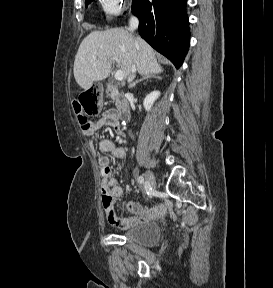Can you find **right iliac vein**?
Here are the masks:
<instances>
[{
    "mask_svg": "<svg viewBox=\"0 0 273 288\" xmlns=\"http://www.w3.org/2000/svg\"><path fill=\"white\" fill-rule=\"evenodd\" d=\"M145 178H146V184L149 187H155V177L154 174L150 171L147 170L145 173Z\"/></svg>",
    "mask_w": 273,
    "mask_h": 288,
    "instance_id": "obj_1",
    "label": "right iliac vein"
}]
</instances>
